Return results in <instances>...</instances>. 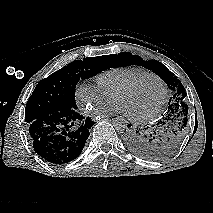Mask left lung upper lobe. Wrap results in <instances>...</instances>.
I'll return each mask as SVG.
<instances>
[{"instance_id":"1","label":"left lung upper lobe","mask_w":213,"mask_h":213,"mask_svg":"<svg viewBox=\"0 0 213 213\" xmlns=\"http://www.w3.org/2000/svg\"><path fill=\"white\" fill-rule=\"evenodd\" d=\"M116 66L139 65L148 70H152L161 77L172 90V97L169 100L162 129L153 144L151 158L163 159L171 155L179 147L185 132L188 121V105L185 102L186 92L179 79L173 75L162 63L156 60L144 61L137 55L129 52L120 53Z\"/></svg>"}]
</instances>
